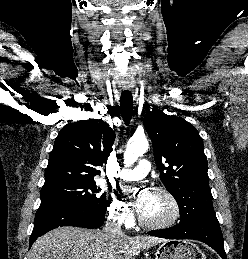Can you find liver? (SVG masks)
Segmentation results:
<instances>
[{
	"label": "liver",
	"instance_id": "1",
	"mask_svg": "<svg viewBox=\"0 0 248 259\" xmlns=\"http://www.w3.org/2000/svg\"><path fill=\"white\" fill-rule=\"evenodd\" d=\"M165 241L154 236H117L105 230L63 226L38 238L28 259H134L141 250Z\"/></svg>",
	"mask_w": 248,
	"mask_h": 259
}]
</instances>
